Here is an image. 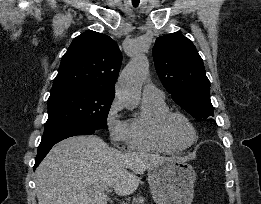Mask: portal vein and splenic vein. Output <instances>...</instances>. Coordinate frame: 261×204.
<instances>
[{"label":"portal vein and splenic vein","instance_id":"obj_1","mask_svg":"<svg viewBox=\"0 0 261 204\" xmlns=\"http://www.w3.org/2000/svg\"><path fill=\"white\" fill-rule=\"evenodd\" d=\"M95 189H100V190L105 189V190H107L108 188H106L104 186H96Z\"/></svg>","mask_w":261,"mask_h":204}]
</instances>
